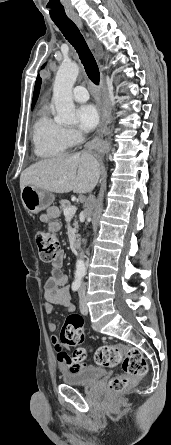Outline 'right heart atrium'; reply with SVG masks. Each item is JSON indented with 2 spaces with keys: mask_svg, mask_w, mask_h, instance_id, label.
Segmentation results:
<instances>
[{
  "mask_svg": "<svg viewBox=\"0 0 171 445\" xmlns=\"http://www.w3.org/2000/svg\"><path fill=\"white\" fill-rule=\"evenodd\" d=\"M66 135L70 143L78 142L81 139V134L72 128L66 129Z\"/></svg>",
  "mask_w": 171,
  "mask_h": 445,
  "instance_id": "right-heart-atrium-1",
  "label": "right heart atrium"
}]
</instances>
